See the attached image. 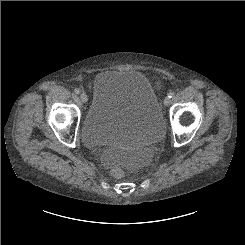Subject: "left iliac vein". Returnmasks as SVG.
<instances>
[{"label":"left iliac vein","mask_w":245,"mask_h":245,"mask_svg":"<svg viewBox=\"0 0 245 245\" xmlns=\"http://www.w3.org/2000/svg\"><path fill=\"white\" fill-rule=\"evenodd\" d=\"M169 104H170V98L168 96H166L164 99V105L168 106Z\"/></svg>","instance_id":"1"}]
</instances>
